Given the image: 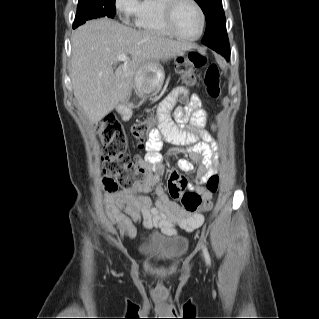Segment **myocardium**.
<instances>
[{
  "instance_id": "myocardium-1",
  "label": "myocardium",
  "mask_w": 319,
  "mask_h": 319,
  "mask_svg": "<svg viewBox=\"0 0 319 319\" xmlns=\"http://www.w3.org/2000/svg\"><path fill=\"white\" fill-rule=\"evenodd\" d=\"M183 2L191 3L195 7L199 15L200 27H199V31L197 35H195L194 37L182 36L181 34L177 32L174 26L175 11L178 8V6ZM162 14H163V21L167 30L172 36L176 37L177 39L192 42V41L198 40L202 36L204 31V26H205V14L202 7L199 5V3L196 0H163Z\"/></svg>"
}]
</instances>
